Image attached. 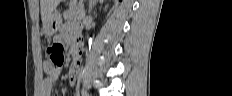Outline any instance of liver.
I'll return each instance as SVG.
<instances>
[{
    "instance_id": "liver-1",
    "label": "liver",
    "mask_w": 232,
    "mask_h": 96,
    "mask_svg": "<svg viewBox=\"0 0 232 96\" xmlns=\"http://www.w3.org/2000/svg\"><path fill=\"white\" fill-rule=\"evenodd\" d=\"M60 1L61 0H40L43 26L48 22Z\"/></svg>"
}]
</instances>
